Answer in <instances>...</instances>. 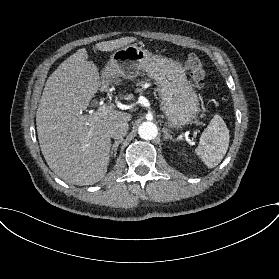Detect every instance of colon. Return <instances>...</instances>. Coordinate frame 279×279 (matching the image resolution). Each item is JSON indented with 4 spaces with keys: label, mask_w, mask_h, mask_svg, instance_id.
I'll return each instance as SVG.
<instances>
[{
    "label": "colon",
    "mask_w": 279,
    "mask_h": 279,
    "mask_svg": "<svg viewBox=\"0 0 279 279\" xmlns=\"http://www.w3.org/2000/svg\"><path fill=\"white\" fill-rule=\"evenodd\" d=\"M185 66L194 87L204 92L206 90V72L200 58L195 54H189L185 60Z\"/></svg>",
    "instance_id": "1"
}]
</instances>
